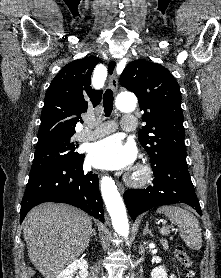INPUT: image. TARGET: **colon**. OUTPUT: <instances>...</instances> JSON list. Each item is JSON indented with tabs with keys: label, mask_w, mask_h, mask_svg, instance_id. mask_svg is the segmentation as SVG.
Masks as SVG:
<instances>
[{
	"label": "colon",
	"mask_w": 221,
	"mask_h": 278,
	"mask_svg": "<svg viewBox=\"0 0 221 278\" xmlns=\"http://www.w3.org/2000/svg\"><path fill=\"white\" fill-rule=\"evenodd\" d=\"M175 253L177 258L180 260L184 268L186 269L185 278H194L195 277V269H194V261L187 254L185 249L182 246L175 247Z\"/></svg>",
	"instance_id": "obj_1"
}]
</instances>
